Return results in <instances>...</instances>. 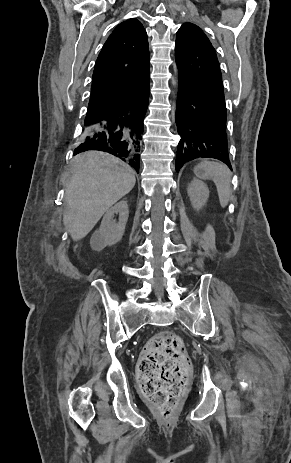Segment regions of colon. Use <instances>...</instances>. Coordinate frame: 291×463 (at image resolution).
<instances>
[{
    "instance_id": "obj_1",
    "label": "colon",
    "mask_w": 291,
    "mask_h": 463,
    "mask_svg": "<svg viewBox=\"0 0 291 463\" xmlns=\"http://www.w3.org/2000/svg\"><path fill=\"white\" fill-rule=\"evenodd\" d=\"M190 373L182 339L164 331L155 335L144 348L138 362L141 391L159 407L167 419Z\"/></svg>"
}]
</instances>
